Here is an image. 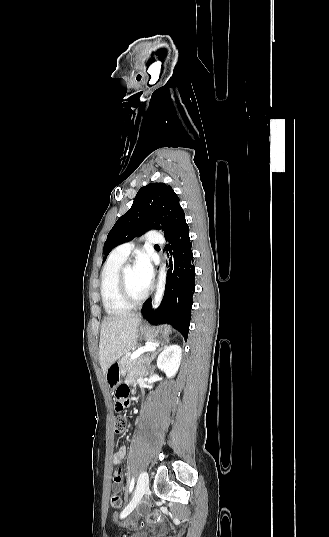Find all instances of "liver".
Returning <instances> with one entry per match:
<instances>
[{
  "label": "liver",
  "instance_id": "liver-1",
  "mask_svg": "<svg viewBox=\"0 0 329 537\" xmlns=\"http://www.w3.org/2000/svg\"><path fill=\"white\" fill-rule=\"evenodd\" d=\"M140 314L108 317L101 325L99 360L103 374L137 342Z\"/></svg>",
  "mask_w": 329,
  "mask_h": 537
}]
</instances>
